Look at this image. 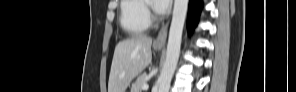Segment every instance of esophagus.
<instances>
[{
  "mask_svg": "<svg viewBox=\"0 0 296 92\" xmlns=\"http://www.w3.org/2000/svg\"><path fill=\"white\" fill-rule=\"evenodd\" d=\"M168 25L169 22H167L160 30L156 40H155V46H163L165 44L166 38H167V31H168Z\"/></svg>",
  "mask_w": 296,
  "mask_h": 92,
  "instance_id": "1",
  "label": "esophagus"
}]
</instances>
